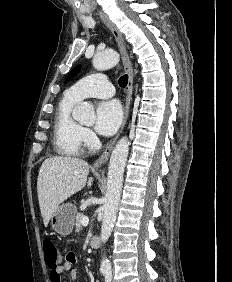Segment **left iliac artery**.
I'll return each instance as SVG.
<instances>
[{
    "mask_svg": "<svg viewBox=\"0 0 232 282\" xmlns=\"http://www.w3.org/2000/svg\"><path fill=\"white\" fill-rule=\"evenodd\" d=\"M112 275L111 273H105V282H111Z\"/></svg>",
    "mask_w": 232,
    "mask_h": 282,
    "instance_id": "left-iliac-artery-1",
    "label": "left iliac artery"
}]
</instances>
